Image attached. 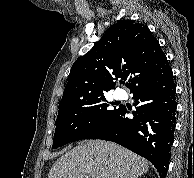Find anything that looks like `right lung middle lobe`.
<instances>
[{
	"instance_id": "1",
	"label": "right lung middle lobe",
	"mask_w": 194,
	"mask_h": 178,
	"mask_svg": "<svg viewBox=\"0 0 194 178\" xmlns=\"http://www.w3.org/2000/svg\"><path fill=\"white\" fill-rule=\"evenodd\" d=\"M119 109L110 110L105 96L58 112L52 148L87 138Z\"/></svg>"
}]
</instances>
